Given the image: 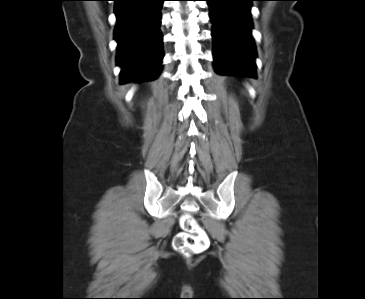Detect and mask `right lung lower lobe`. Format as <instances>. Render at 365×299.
Here are the masks:
<instances>
[{
	"mask_svg": "<svg viewBox=\"0 0 365 299\" xmlns=\"http://www.w3.org/2000/svg\"><path fill=\"white\" fill-rule=\"evenodd\" d=\"M120 82L154 80L163 58L159 30L164 0H114Z\"/></svg>",
	"mask_w": 365,
	"mask_h": 299,
	"instance_id": "1",
	"label": "right lung lower lobe"
}]
</instances>
